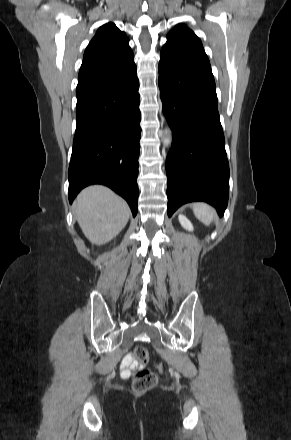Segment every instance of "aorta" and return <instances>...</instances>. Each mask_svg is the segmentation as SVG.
Here are the masks:
<instances>
[{
    "mask_svg": "<svg viewBox=\"0 0 291 440\" xmlns=\"http://www.w3.org/2000/svg\"><path fill=\"white\" fill-rule=\"evenodd\" d=\"M164 146L169 148L172 143V136H171V130L169 128L165 129V138H164Z\"/></svg>",
    "mask_w": 291,
    "mask_h": 440,
    "instance_id": "aorta-1",
    "label": "aorta"
}]
</instances>
